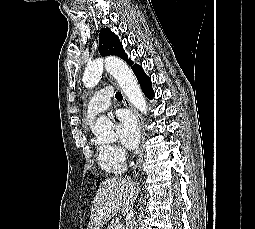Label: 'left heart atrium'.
<instances>
[{"instance_id": "obj_1", "label": "left heart atrium", "mask_w": 255, "mask_h": 229, "mask_svg": "<svg viewBox=\"0 0 255 229\" xmlns=\"http://www.w3.org/2000/svg\"><path fill=\"white\" fill-rule=\"evenodd\" d=\"M117 134L122 145L127 149H134L139 141L140 132L135 120L125 113H118Z\"/></svg>"}]
</instances>
